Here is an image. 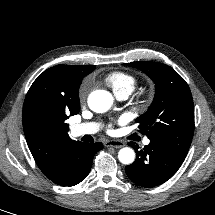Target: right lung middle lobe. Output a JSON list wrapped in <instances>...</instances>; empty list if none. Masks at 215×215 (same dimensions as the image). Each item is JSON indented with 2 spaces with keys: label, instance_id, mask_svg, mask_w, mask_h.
I'll use <instances>...</instances> for the list:
<instances>
[{
  "label": "right lung middle lobe",
  "instance_id": "1",
  "mask_svg": "<svg viewBox=\"0 0 215 215\" xmlns=\"http://www.w3.org/2000/svg\"><path fill=\"white\" fill-rule=\"evenodd\" d=\"M73 85V84H71ZM30 107L35 119L44 124H52L57 119L62 122L67 119V101L64 96L50 97L35 90L31 94Z\"/></svg>",
  "mask_w": 215,
  "mask_h": 215
}]
</instances>
